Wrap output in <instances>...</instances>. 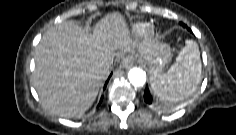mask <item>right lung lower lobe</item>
<instances>
[{"mask_svg":"<svg viewBox=\"0 0 236 135\" xmlns=\"http://www.w3.org/2000/svg\"><path fill=\"white\" fill-rule=\"evenodd\" d=\"M107 82H108V80H107ZM107 82H106L104 88H106ZM101 102H102V98H101V100H100V103H101ZM100 103H99V104H100Z\"/></svg>","mask_w":236,"mask_h":135,"instance_id":"1","label":"right lung lower lobe"}]
</instances>
